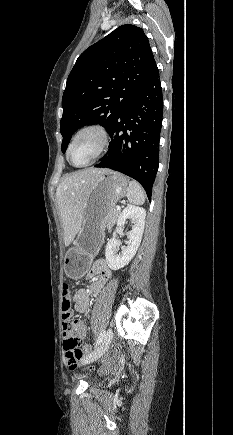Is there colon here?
Wrapping results in <instances>:
<instances>
[{
	"label": "colon",
	"mask_w": 233,
	"mask_h": 435,
	"mask_svg": "<svg viewBox=\"0 0 233 435\" xmlns=\"http://www.w3.org/2000/svg\"><path fill=\"white\" fill-rule=\"evenodd\" d=\"M62 313L64 318H68L72 313V302L70 288L67 283L62 287ZM80 337L77 329L74 326H68L64 329L63 347L65 351V363L71 370H75L82 357V352L79 347Z\"/></svg>",
	"instance_id": "obj_1"
}]
</instances>
